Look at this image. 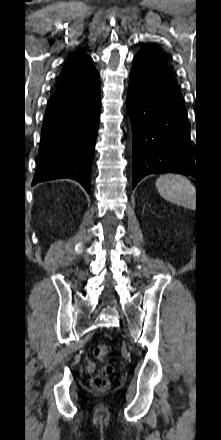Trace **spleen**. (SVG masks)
Masks as SVG:
<instances>
[{"instance_id": "3e777b00", "label": "spleen", "mask_w": 221, "mask_h": 440, "mask_svg": "<svg viewBox=\"0 0 221 440\" xmlns=\"http://www.w3.org/2000/svg\"><path fill=\"white\" fill-rule=\"evenodd\" d=\"M160 195L178 205L193 208L195 204V187L184 176L178 174L161 175L156 181Z\"/></svg>"}]
</instances>
